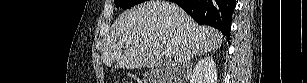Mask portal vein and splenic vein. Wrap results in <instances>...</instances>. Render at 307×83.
I'll list each match as a JSON object with an SVG mask.
<instances>
[{
    "mask_svg": "<svg viewBox=\"0 0 307 83\" xmlns=\"http://www.w3.org/2000/svg\"><path fill=\"white\" fill-rule=\"evenodd\" d=\"M173 54H174V51L171 49L164 50L163 52V55L169 56V57L172 56Z\"/></svg>",
    "mask_w": 307,
    "mask_h": 83,
    "instance_id": "1",
    "label": "portal vein and splenic vein"
}]
</instances>
